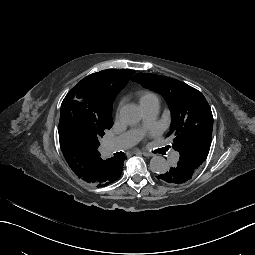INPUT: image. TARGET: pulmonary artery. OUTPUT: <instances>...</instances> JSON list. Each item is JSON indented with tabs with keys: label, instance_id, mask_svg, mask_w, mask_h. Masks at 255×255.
Segmentation results:
<instances>
[{
	"label": "pulmonary artery",
	"instance_id": "pulmonary-artery-1",
	"mask_svg": "<svg viewBox=\"0 0 255 255\" xmlns=\"http://www.w3.org/2000/svg\"><path fill=\"white\" fill-rule=\"evenodd\" d=\"M141 108L143 111L144 120L146 121L144 123V128L146 130H151L153 127L155 129H158L160 127V123L158 121L152 123V121L155 120L159 113V103L154 102L144 105ZM142 136L143 133L139 129L123 133L120 136L106 142V151L108 154L122 151L134 145L137 140L142 138ZM167 157L171 164H176L178 162V152L176 150H171L170 152H168Z\"/></svg>",
	"mask_w": 255,
	"mask_h": 255
}]
</instances>
